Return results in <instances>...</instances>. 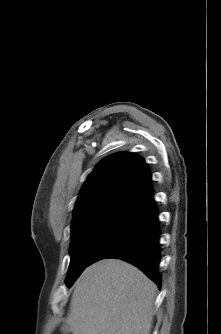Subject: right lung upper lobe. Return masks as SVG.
<instances>
[{
  "instance_id": "obj_1",
  "label": "right lung upper lobe",
  "mask_w": 221,
  "mask_h": 334,
  "mask_svg": "<svg viewBox=\"0 0 221 334\" xmlns=\"http://www.w3.org/2000/svg\"><path fill=\"white\" fill-rule=\"evenodd\" d=\"M150 170L140 156L119 152L103 159L88 176L74 207L72 228L100 215L145 217L155 206Z\"/></svg>"
}]
</instances>
